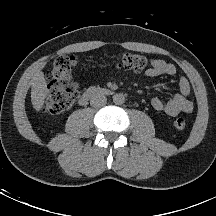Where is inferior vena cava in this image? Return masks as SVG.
Here are the masks:
<instances>
[{
  "instance_id": "obj_1",
  "label": "inferior vena cava",
  "mask_w": 216,
  "mask_h": 216,
  "mask_svg": "<svg viewBox=\"0 0 216 216\" xmlns=\"http://www.w3.org/2000/svg\"><path fill=\"white\" fill-rule=\"evenodd\" d=\"M107 103V98L103 94H94L90 98V105L94 108H100Z\"/></svg>"
}]
</instances>
